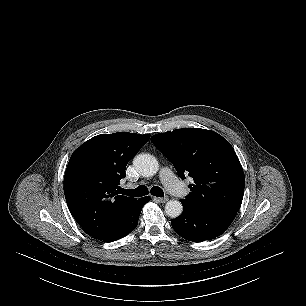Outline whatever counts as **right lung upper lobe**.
Listing matches in <instances>:
<instances>
[{
  "mask_svg": "<svg viewBox=\"0 0 306 306\" xmlns=\"http://www.w3.org/2000/svg\"><path fill=\"white\" fill-rule=\"evenodd\" d=\"M150 135L119 132L97 135L77 148L64 176L67 205L78 224L101 240L128 215L136 198L118 195L127 163Z\"/></svg>",
  "mask_w": 306,
  "mask_h": 306,
  "instance_id": "cb5924a9",
  "label": "right lung upper lobe"
}]
</instances>
